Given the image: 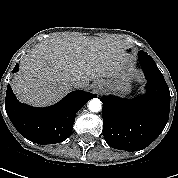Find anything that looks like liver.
<instances>
[{"label": "liver", "instance_id": "1", "mask_svg": "<svg viewBox=\"0 0 178 178\" xmlns=\"http://www.w3.org/2000/svg\"><path fill=\"white\" fill-rule=\"evenodd\" d=\"M129 46L97 37H53L35 45L20 62V71L11 82L22 102L42 106L57 101L73 86L71 78L86 88L95 79L125 74Z\"/></svg>", "mask_w": 178, "mask_h": 178}]
</instances>
